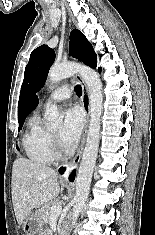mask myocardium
<instances>
[{
	"label": "myocardium",
	"mask_w": 155,
	"mask_h": 235,
	"mask_svg": "<svg viewBox=\"0 0 155 235\" xmlns=\"http://www.w3.org/2000/svg\"><path fill=\"white\" fill-rule=\"evenodd\" d=\"M52 148H53V155L56 158L62 157L63 152H62V149H61V147L59 146V144L57 142L53 143V147Z\"/></svg>",
	"instance_id": "myocardium-1"
}]
</instances>
